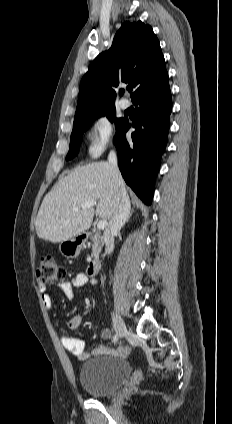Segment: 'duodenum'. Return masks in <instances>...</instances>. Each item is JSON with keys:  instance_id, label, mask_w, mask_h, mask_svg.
I'll return each mask as SVG.
<instances>
[{"instance_id": "duodenum-1", "label": "duodenum", "mask_w": 232, "mask_h": 424, "mask_svg": "<svg viewBox=\"0 0 232 424\" xmlns=\"http://www.w3.org/2000/svg\"><path fill=\"white\" fill-rule=\"evenodd\" d=\"M82 237L84 239H87L89 237V234H83ZM101 265H102V259L99 253H96V255H94L92 257V259L90 260L89 264H88V273L90 275H96L98 274V272L101 269Z\"/></svg>"}]
</instances>
